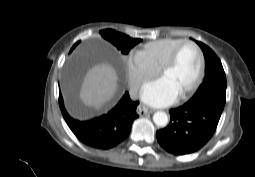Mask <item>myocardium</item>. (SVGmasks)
Wrapping results in <instances>:
<instances>
[{"label": "myocardium", "mask_w": 255, "mask_h": 177, "mask_svg": "<svg viewBox=\"0 0 255 177\" xmlns=\"http://www.w3.org/2000/svg\"><path fill=\"white\" fill-rule=\"evenodd\" d=\"M186 45H191L197 50V52L199 54L200 64H199L198 74H197V77H196L194 83L187 90H185L184 92L179 94L180 98H186V97L190 96L192 93H194L197 90V88L200 86V84L202 82V79H203V76H204V71H205V57H204V53H203L202 49L200 48V46L192 40L182 41L180 44H178L173 49V51L170 54L169 58L166 60V62L159 69V74L161 76L166 71L171 69L174 66V64L177 60V57H178V54H179L180 50Z\"/></svg>", "instance_id": "myocardium-1"}]
</instances>
